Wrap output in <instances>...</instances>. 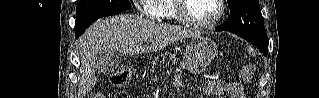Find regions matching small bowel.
Listing matches in <instances>:
<instances>
[{
  "instance_id": "small-bowel-1",
  "label": "small bowel",
  "mask_w": 319,
  "mask_h": 98,
  "mask_svg": "<svg viewBox=\"0 0 319 98\" xmlns=\"http://www.w3.org/2000/svg\"><path fill=\"white\" fill-rule=\"evenodd\" d=\"M174 84L176 87L182 86V80L179 75L175 76ZM204 89L207 93L215 96L227 94L230 98H245L243 93V86L236 82L208 80L204 84Z\"/></svg>"
}]
</instances>
